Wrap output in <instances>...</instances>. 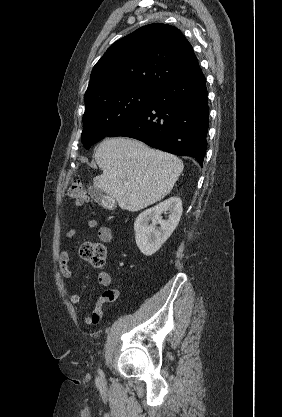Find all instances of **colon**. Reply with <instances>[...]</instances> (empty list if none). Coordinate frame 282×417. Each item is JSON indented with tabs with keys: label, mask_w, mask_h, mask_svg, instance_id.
<instances>
[{
	"label": "colon",
	"mask_w": 282,
	"mask_h": 417,
	"mask_svg": "<svg viewBox=\"0 0 282 417\" xmlns=\"http://www.w3.org/2000/svg\"><path fill=\"white\" fill-rule=\"evenodd\" d=\"M69 195L77 203L85 202V189L79 182H74L69 187ZM80 256L96 267H101L106 264L107 249L101 242H88L81 246L79 251Z\"/></svg>",
	"instance_id": "5ec220e1"
}]
</instances>
